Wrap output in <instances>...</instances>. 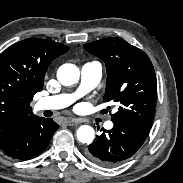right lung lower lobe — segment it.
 I'll use <instances>...</instances> for the list:
<instances>
[{
	"instance_id": "98d812e1",
	"label": "right lung lower lobe",
	"mask_w": 183,
	"mask_h": 183,
	"mask_svg": "<svg viewBox=\"0 0 183 183\" xmlns=\"http://www.w3.org/2000/svg\"><path fill=\"white\" fill-rule=\"evenodd\" d=\"M59 128L52 119L30 115L19 120L0 142V149L9 157L27 160L39 156Z\"/></svg>"
}]
</instances>
